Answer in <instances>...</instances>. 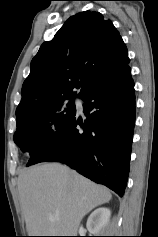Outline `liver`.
<instances>
[{
    "label": "liver",
    "mask_w": 158,
    "mask_h": 237,
    "mask_svg": "<svg viewBox=\"0 0 158 237\" xmlns=\"http://www.w3.org/2000/svg\"><path fill=\"white\" fill-rule=\"evenodd\" d=\"M17 185L29 236H76L83 217L112 198L106 187L59 163L23 170Z\"/></svg>",
    "instance_id": "obj_1"
}]
</instances>
